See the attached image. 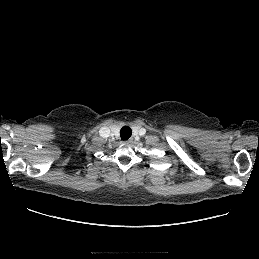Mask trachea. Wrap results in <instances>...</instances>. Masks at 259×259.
Returning a JSON list of instances; mask_svg holds the SVG:
<instances>
[{"mask_svg": "<svg viewBox=\"0 0 259 259\" xmlns=\"http://www.w3.org/2000/svg\"><path fill=\"white\" fill-rule=\"evenodd\" d=\"M132 135V130L128 126H124L120 130V136L122 140H127L131 137Z\"/></svg>", "mask_w": 259, "mask_h": 259, "instance_id": "3493384b", "label": "trachea"}]
</instances>
